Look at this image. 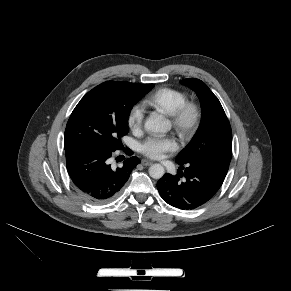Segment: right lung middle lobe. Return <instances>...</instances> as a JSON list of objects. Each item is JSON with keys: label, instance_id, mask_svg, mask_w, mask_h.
<instances>
[{"label": "right lung middle lobe", "instance_id": "obj_1", "mask_svg": "<svg viewBox=\"0 0 291 291\" xmlns=\"http://www.w3.org/2000/svg\"><path fill=\"white\" fill-rule=\"evenodd\" d=\"M153 84L105 82L89 91L73 110L64 134L65 150L81 145L116 149L128 133V116Z\"/></svg>", "mask_w": 291, "mask_h": 291}]
</instances>
